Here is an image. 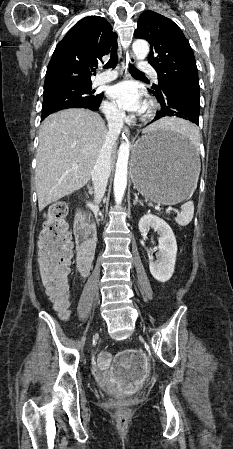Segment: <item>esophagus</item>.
<instances>
[{"label": "esophagus", "mask_w": 233, "mask_h": 449, "mask_svg": "<svg viewBox=\"0 0 233 449\" xmlns=\"http://www.w3.org/2000/svg\"><path fill=\"white\" fill-rule=\"evenodd\" d=\"M134 62H135L134 55L132 53H130V54L127 53L126 54V64H128V63L133 64ZM126 77L128 78L129 74H126ZM129 133H130L129 127L124 126L123 127V134H124V136H129Z\"/></svg>", "instance_id": "1"}]
</instances>
